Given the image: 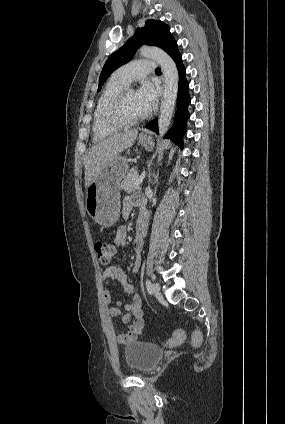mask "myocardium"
Wrapping results in <instances>:
<instances>
[{
  "label": "myocardium",
  "mask_w": 285,
  "mask_h": 424,
  "mask_svg": "<svg viewBox=\"0 0 285 424\" xmlns=\"http://www.w3.org/2000/svg\"><path fill=\"white\" fill-rule=\"evenodd\" d=\"M129 92L131 91L124 89L110 102L105 111V121L107 124L125 128L134 126L146 119V115L135 119H128L125 117L123 113V104Z\"/></svg>",
  "instance_id": "obj_1"
}]
</instances>
